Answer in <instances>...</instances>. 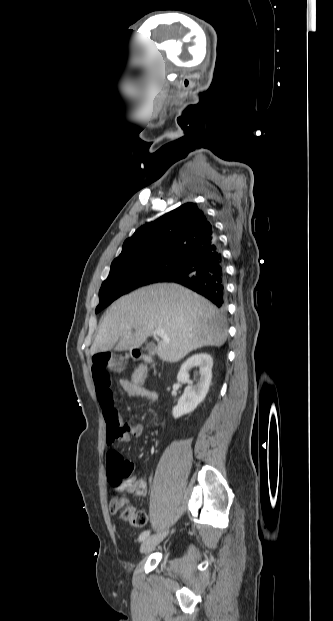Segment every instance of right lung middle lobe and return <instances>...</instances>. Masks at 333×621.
<instances>
[{
    "instance_id": "obj_1",
    "label": "right lung middle lobe",
    "mask_w": 333,
    "mask_h": 621,
    "mask_svg": "<svg viewBox=\"0 0 333 621\" xmlns=\"http://www.w3.org/2000/svg\"><path fill=\"white\" fill-rule=\"evenodd\" d=\"M183 262L184 258L159 257L111 264L109 276L99 291L96 313L131 290L160 282L174 274Z\"/></svg>"
}]
</instances>
